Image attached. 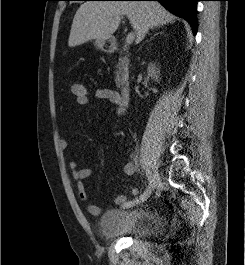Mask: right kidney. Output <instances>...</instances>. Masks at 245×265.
<instances>
[{
    "mask_svg": "<svg viewBox=\"0 0 245 265\" xmlns=\"http://www.w3.org/2000/svg\"><path fill=\"white\" fill-rule=\"evenodd\" d=\"M148 74L150 77H152L153 79L157 80L158 81V74H159V71H158V68H156L155 64L151 63L148 67Z\"/></svg>",
    "mask_w": 245,
    "mask_h": 265,
    "instance_id": "ca27d5eb",
    "label": "right kidney"
}]
</instances>
